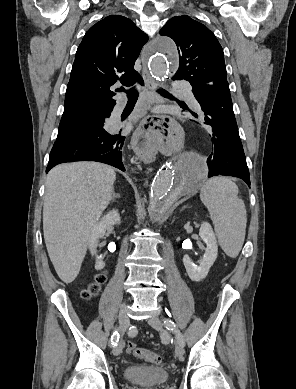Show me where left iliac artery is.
Returning a JSON list of instances; mask_svg holds the SVG:
<instances>
[{
	"label": "left iliac artery",
	"instance_id": "44dca946",
	"mask_svg": "<svg viewBox=\"0 0 296 389\" xmlns=\"http://www.w3.org/2000/svg\"><path fill=\"white\" fill-rule=\"evenodd\" d=\"M163 323L168 330H172L175 333L177 340L184 345L185 344L184 337L180 332V330L177 328L176 324L170 319H165Z\"/></svg>",
	"mask_w": 296,
	"mask_h": 389
}]
</instances>
